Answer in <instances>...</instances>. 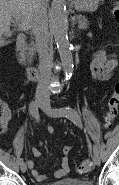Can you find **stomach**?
<instances>
[{"mask_svg": "<svg viewBox=\"0 0 119 185\" xmlns=\"http://www.w3.org/2000/svg\"><path fill=\"white\" fill-rule=\"evenodd\" d=\"M101 0H74V6L77 11L92 12L97 10Z\"/></svg>", "mask_w": 119, "mask_h": 185, "instance_id": "1", "label": "stomach"}]
</instances>
